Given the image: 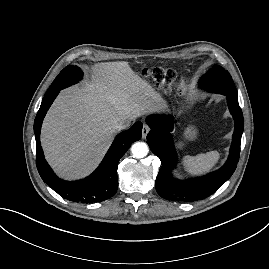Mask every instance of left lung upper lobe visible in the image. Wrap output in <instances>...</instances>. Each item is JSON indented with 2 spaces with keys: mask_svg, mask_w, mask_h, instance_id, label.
<instances>
[{
  "mask_svg": "<svg viewBox=\"0 0 269 269\" xmlns=\"http://www.w3.org/2000/svg\"><path fill=\"white\" fill-rule=\"evenodd\" d=\"M201 86L209 91L231 95L238 98L237 90L231 75L227 70L219 65H214L213 68L206 73L201 79Z\"/></svg>",
  "mask_w": 269,
  "mask_h": 269,
  "instance_id": "1",
  "label": "left lung upper lobe"
}]
</instances>
